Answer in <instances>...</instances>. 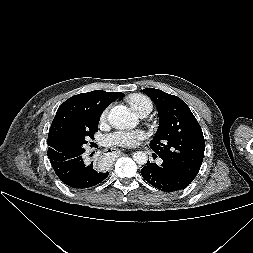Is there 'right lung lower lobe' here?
<instances>
[{
    "mask_svg": "<svg viewBox=\"0 0 253 253\" xmlns=\"http://www.w3.org/2000/svg\"><path fill=\"white\" fill-rule=\"evenodd\" d=\"M82 151L63 154L58 151L48 152L52 167L59 179L67 186L85 189L95 186L107 178L109 172H100L93 163L85 164Z\"/></svg>",
    "mask_w": 253,
    "mask_h": 253,
    "instance_id": "1",
    "label": "right lung lower lobe"
}]
</instances>
